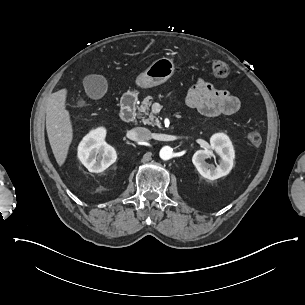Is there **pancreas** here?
Wrapping results in <instances>:
<instances>
[{"label":"pancreas","instance_id":"obj_1","mask_svg":"<svg viewBox=\"0 0 305 305\" xmlns=\"http://www.w3.org/2000/svg\"><path fill=\"white\" fill-rule=\"evenodd\" d=\"M152 104V97L147 96L144 98V100L141 103V106L138 107V113H137V118L141 119L143 124H148V125H158L159 121L156 118L155 114L153 112L149 113V107Z\"/></svg>","mask_w":305,"mask_h":305}]
</instances>
